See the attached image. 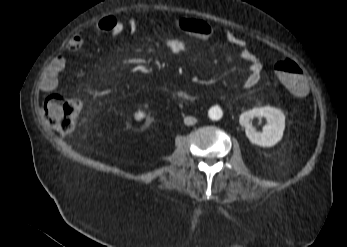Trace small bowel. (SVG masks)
I'll return each instance as SVG.
<instances>
[{
	"mask_svg": "<svg viewBox=\"0 0 347 247\" xmlns=\"http://www.w3.org/2000/svg\"><path fill=\"white\" fill-rule=\"evenodd\" d=\"M176 26L188 36L198 40L201 43H209L213 36V28L204 20L196 18H183L175 20ZM138 21L130 19L126 22L116 19L114 16H107L97 23V29L100 32L109 34L110 37H117L125 30L130 33L137 31ZM224 37L229 45L234 47L239 57L247 62L250 66V73L244 83L248 88L255 86L260 79L261 61L258 56L248 47L246 40L237 32L226 30ZM84 44L81 35L75 34L70 37L66 43V49L70 52L79 51ZM168 49L173 54H180L187 48V41L183 38L170 39L167 43ZM66 62L63 57L53 58L40 78V89L43 92L51 93L59 85L60 76L64 71ZM176 95L184 100L189 101L192 98L190 91L184 88H177Z\"/></svg>",
	"mask_w": 347,
	"mask_h": 247,
	"instance_id": "obj_1",
	"label": "small bowel"
}]
</instances>
